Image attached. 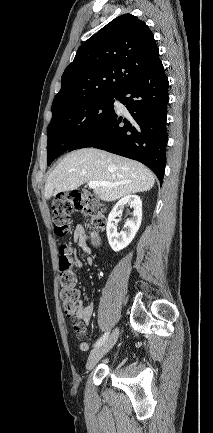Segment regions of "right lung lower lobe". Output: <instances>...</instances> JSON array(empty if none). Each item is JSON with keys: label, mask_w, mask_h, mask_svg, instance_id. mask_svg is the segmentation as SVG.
I'll list each match as a JSON object with an SVG mask.
<instances>
[{"label": "right lung lower lobe", "mask_w": 213, "mask_h": 433, "mask_svg": "<svg viewBox=\"0 0 213 433\" xmlns=\"http://www.w3.org/2000/svg\"><path fill=\"white\" fill-rule=\"evenodd\" d=\"M168 79L158 58L145 74L120 95L131 114L127 120L116 112L94 133L67 151L94 147L140 161L162 184L167 147ZM128 95V97H123Z\"/></svg>", "instance_id": "right-lung-lower-lobe-1"}]
</instances>
